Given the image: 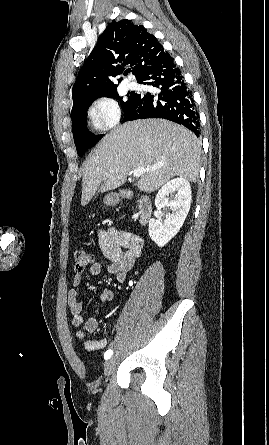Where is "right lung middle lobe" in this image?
I'll use <instances>...</instances> for the list:
<instances>
[{"label": "right lung middle lobe", "instance_id": "1", "mask_svg": "<svg viewBox=\"0 0 269 445\" xmlns=\"http://www.w3.org/2000/svg\"><path fill=\"white\" fill-rule=\"evenodd\" d=\"M99 97H110L119 100L124 109V120H125L135 102L137 94L134 93L127 94V98L123 99V97L118 95L117 90H115L112 92H108L93 97L87 101L77 104L72 108V113H71L72 131H73L74 143L79 156H82L87 151L88 148L93 147L103 137V134L95 135L91 133L87 129V125L85 122V116L89 105Z\"/></svg>", "mask_w": 269, "mask_h": 445}]
</instances>
